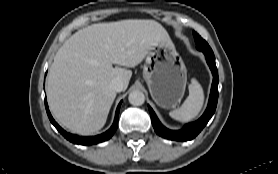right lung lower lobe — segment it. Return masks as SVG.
<instances>
[{
	"label": "right lung lower lobe",
	"instance_id": "1",
	"mask_svg": "<svg viewBox=\"0 0 278 174\" xmlns=\"http://www.w3.org/2000/svg\"><path fill=\"white\" fill-rule=\"evenodd\" d=\"M120 106H121V102L119 103L117 110H116V114H115V119L113 122V125L111 126V128L109 130H107L105 133L97 135V136H92V137H79L77 135H73L70 133H67L65 130H63L53 119V117L50 114V111L48 109V105H47V101L45 98V107H46V111L48 114V117L51 121V123L56 127V129L69 141H71L72 143L75 144H81V145H92V144H97L99 142H103L106 141L108 139H110L112 137V135L114 134V132L117 129V125H118V116H119V110H120Z\"/></svg>",
	"mask_w": 278,
	"mask_h": 174
}]
</instances>
